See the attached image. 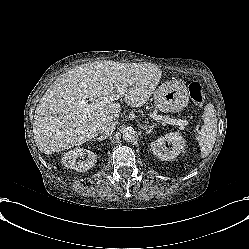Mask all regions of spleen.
Here are the masks:
<instances>
[{
  "label": "spleen",
  "mask_w": 249,
  "mask_h": 249,
  "mask_svg": "<svg viewBox=\"0 0 249 249\" xmlns=\"http://www.w3.org/2000/svg\"><path fill=\"white\" fill-rule=\"evenodd\" d=\"M211 105H207L205 107V118H204V126L200 135L198 136L199 145L201 148V152L204 156L210 153L212 146L214 145V135L213 131L216 128V119L213 112V108Z\"/></svg>",
  "instance_id": "obj_1"
}]
</instances>
